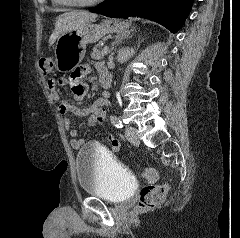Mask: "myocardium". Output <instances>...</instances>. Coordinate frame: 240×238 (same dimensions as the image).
<instances>
[{
  "mask_svg": "<svg viewBox=\"0 0 240 238\" xmlns=\"http://www.w3.org/2000/svg\"><path fill=\"white\" fill-rule=\"evenodd\" d=\"M105 0H91L89 2H74V1H69V0H63V3L65 5H70V6H77V7H90V6H95L98 5Z\"/></svg>",
  "mask_w": 240,
  "mask_h": 238,
  "instance_id": "f54148a6",
  "label": "myocardium"
}]
</instances>
